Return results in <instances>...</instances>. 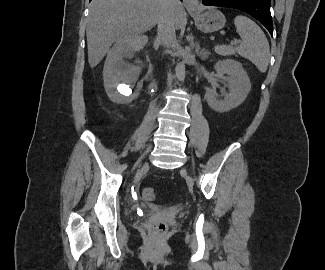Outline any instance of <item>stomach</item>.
Returning <instances> with one entry per match:
<instances>
[{"mask_svg":"<svg viewBox=\"0 0 325 270\" xmlns=\"http://www.w3.org/2000/svg\"><path fill=\"white\" fill-rule=\"evenodd\" d=\"M197 28L203 32L211 33L222 29L226 23L225 16L215 8H199L191 11Z\"/></svg>","mask_w":325,"mask_h":270,"instance_id":"stomach-1","label":"stomach"}]
</instances>
